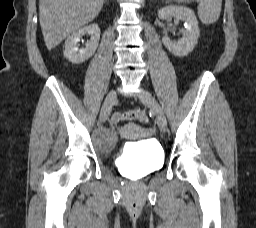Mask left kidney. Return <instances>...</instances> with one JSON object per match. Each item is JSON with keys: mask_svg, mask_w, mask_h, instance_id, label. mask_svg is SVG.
<instances>
[{"mask_svg": "<svg viewBox=\"0 0 256 228\" xmlns=\"http://www.w3.org/2000/svg\"><path fill=\"white\" fill-rule=\"evenodd\" d=\"M158 17L162 20L175 17L185 21V29L181 39L174 42L169 37L164 36L162 42L172 54L178 57H184L191 53L200 35L198 21L194 12L184 6H166L158 10Z\"/></svg>", "mask_w": 256, "mask_h": 228, "instance_id": "left-kidney-1", "label": "left kidney"}]
</instances>
